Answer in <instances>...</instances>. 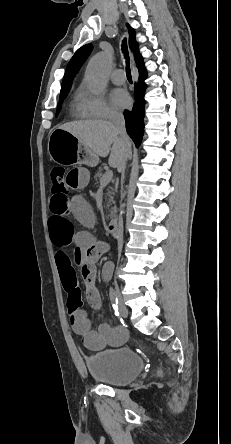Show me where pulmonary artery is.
<instances>
[{
	"label": "pulmonary artery",
	"instance_id": "1",
	"mask_svg": "<svg viewBox=\"0 0 231 444\" xmlns=\"http://www.w3.org/2000/svg\"><path fill=\"white\" fill-rule=\"evenodd\" d=\"M111 80L116 85H122L126 81L125 72L121 69L115 70L111 75Z\"/></svg>",
	"mask_w": 231,
	"mask_h": 444
}]
</instances>
